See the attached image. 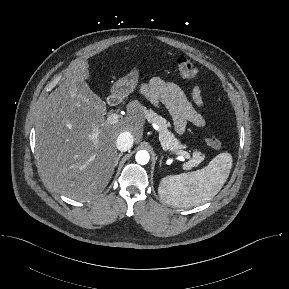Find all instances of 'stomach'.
<instances>
[{
    "mask_svg": "<svg viewBox=\"0 0 289 289\" xmlns=\"http://www.w3.org/2000/svg\"><path fill=\"white\" fill-rule=\"evenodd\" d=\"M139 73V69L133 68L127 75L117 80L111 88L112 94L124 98L132 93L138 84Z\"/></svg>",
    "mask_w": 289,
    "mask_h": 289,
    "instance_id": "0dacf381",
    "label": "stomach"
}]
</instances>
